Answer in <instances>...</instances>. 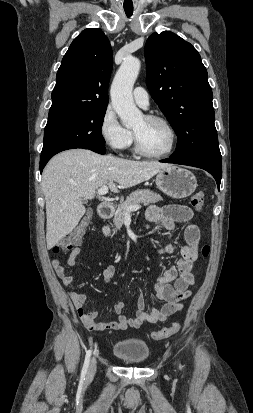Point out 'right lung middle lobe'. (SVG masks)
Wrapping results in <instances>:
<instances>
[{"label": "right lung middle lobe", "mask_w": 253, "mask_h": 413, "mask_svg": "<svg viewBox=\"0 0 253 413\" xmlns=\"http://www.w3.org/2000/svg\"><path fill=\"white\" fill-rule=\"evenodd\" d=\"M105 113L101 108L49 115L41 153L66 144H105L101 133Z\"/></svg>", "instance_id": "right-lung-middle-lobe-1"}]
</instances>
